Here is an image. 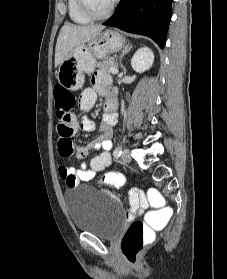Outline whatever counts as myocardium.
I'll return each mask as SVG.
<instances>
[{"label":"myocardium","instance_id":"obj_1","mask_svg":"<svg viewBox=\"0 0 227 279\" xmlns=\"http://www.w3.org/2000/svg\"><path fill=\"white\" fill-rule=\"evenodd\" d=\"M116 1L117 0H112L111 5L109 6L108 10L106 12H104L103 14H96L91 9V7L88 3V0H77L80 10L90 20H102V19L108 18L114 10Z\"/></svg>","mask_w":227,"mask_h":279}]
</instances>
